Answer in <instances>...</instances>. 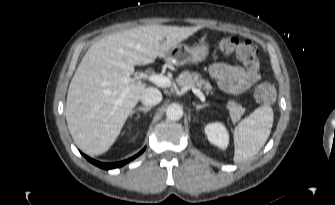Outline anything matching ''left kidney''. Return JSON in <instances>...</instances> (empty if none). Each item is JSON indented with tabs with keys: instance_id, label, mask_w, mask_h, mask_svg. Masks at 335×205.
Listing matches in <instances>:
<instances>
[{
	"instance_id": "left-kidney-1",
	"label": "left kidney",
	"mask_w": 335,
	"mask_h": 205,
	"mask_svg": "<svg viewBox=\"0 0 335 205\" xmlns=\"http://www.w3.org/2000/svg\"><path fill=\"white\" fill-rule=\"evenodd\" d=\"M205 134L210 143L221 149H226L229 143V134L226 127L219 122L210 123L205 127Z\"/></svg>"
}]
</instances>
